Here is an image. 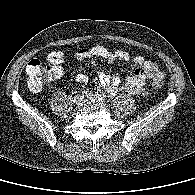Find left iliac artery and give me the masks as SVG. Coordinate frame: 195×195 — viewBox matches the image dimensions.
Returning <instances> with one entry per match:
<instances>
[{
  "label": "left iliac artery",
  "instance_id": "left-iliac-artery-1",
  "mask_svg": "<svg viewBox=\"0 0 195 195\" xmlns=\"http://www.w3.org/2000/svg\"><path fill=\"white\" fill-rule=\"evenodd\" d=\"M102 98L104 99V98H105V96L103 95V96H102Z\"/></svg>",
  "mask_w": 195,
  "mask_h": 195
}]
</instances>
